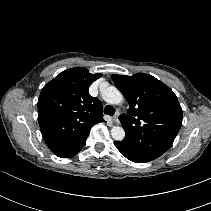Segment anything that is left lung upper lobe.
Segmentation results:
<instances>
[{
    "label": "left lung upper lobe",
    "mask_w": 211,
    "mask_h": 211,
    "mask_svg": "<svg viewBox=\"0 0 211 211\" xmlns=\"http://www.w3.org/2000/svg\"><path fill=\"white\" fill-rule=\"evenodd\" d=\"M130 108L119 119L126 132L125 147L149 162L172 145L182 125V108L174 92L155 77L137 73L113 75Z\"/></svg>",
    "instance_id": "5c2ea615"
}]
</instances>
